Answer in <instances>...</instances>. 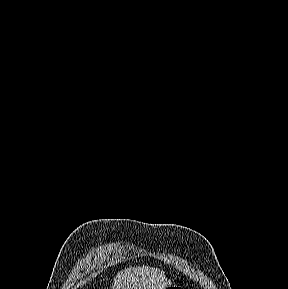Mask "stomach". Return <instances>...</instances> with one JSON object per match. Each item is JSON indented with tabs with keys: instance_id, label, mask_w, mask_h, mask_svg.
I'll list each match as a JSON object with an SVG mask.
<instances>
[{
	"instance_id": "stomach-1",
	"label": "stomach",
	"mask_w": 288,
	"mask_h": 289,
	"mask_svg": "<svg viewBox=\"0 0 288 289\" xmlns=\"http://www.w3.org/2000/svg\"><path fill=\"white\" fill-rule=\"evenodd\" d=\"M168 289H181V288L180 286L173 285V286H169Z\"/></svg>"
}]
</instances>
